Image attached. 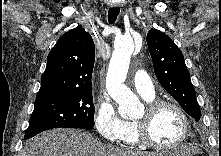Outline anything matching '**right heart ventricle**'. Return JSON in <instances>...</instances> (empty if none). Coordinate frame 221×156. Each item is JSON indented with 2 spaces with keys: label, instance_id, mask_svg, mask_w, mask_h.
<instances>
[{
  "label": "right heart ventricle",
  "instance_id": "1",
  "mask_svg": "<svg viewBox=\"0 0 221 156\" xmlns=\"http://www.w3.org/2000/svg\"><path fill=\"white\" fill-rule=\"evenodd\" d=\"M153 99L154 98L146 99V100L147 101H152ZM126 125H127V130H126V134H125L123 140L128 144H136L137 139H136V136H135L134 122H126Z\"/></svg>",
  "mask_w": 221,
  "mask_h": 156
}]
</instances>
